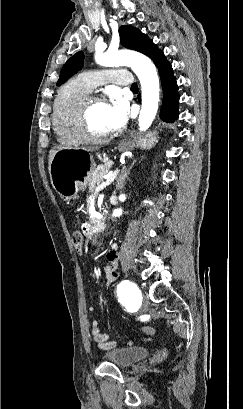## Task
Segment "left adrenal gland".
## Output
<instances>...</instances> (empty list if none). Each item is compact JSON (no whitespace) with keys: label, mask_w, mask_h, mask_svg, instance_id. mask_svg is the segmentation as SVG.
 Returning a JSON list of instances; mask_svg holds the SVG:
<instances>
[{"label":"left adrenal gland","mask_w":243,"mask_h":409,"mask_svg":"<svg viewBox=\"0 0 243 409\" xmlns=\"http://www.w3.org/2000/svg\"><path fill=\"white\" fill-rule=\"evenodd\" d=\"M136 163V160L133 161V163L131 164V166L127 169L126 166H123L121 173L119 174V176L116 178V189L118 190H122L125 184V180L128 179V176L130 174V170L132 169V167L134 166V164Z\"/></svg>","instance_id":"left-adrenal-gland-1"}]
</instances>
